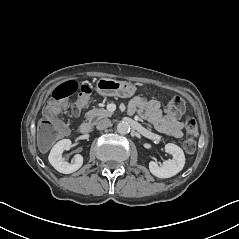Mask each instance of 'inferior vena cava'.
I'll list each match as a JSON object with an SVG mask.
<instances>
[{
    "mask_svg": "<svg viewBox=\"0 0 239 239\" xmlns=\"http://www.w3.org/2000/svg\"><path fill=\"white\" fill-rule=\"evenodd\" d=\"M110 125H111V120L108 118H105V119H102L97 122L96 128L98 130H104V129L108 128Z\"/></svg>",
    "mask_w": 239,
    "mask_h": 239,
    "instance_id": "602c4592",
    "label": "inferior vena cava"
}]
</instances>
